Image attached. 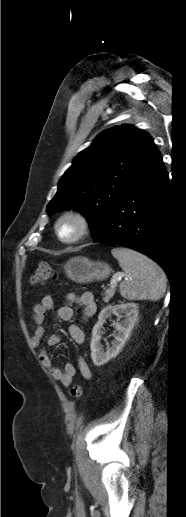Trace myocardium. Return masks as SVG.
<instances>
[{
  "instance_id": "1",
  "label": "myocardium",
  "mask_w": 186,
  "mask_h": 517,
  "mask_svg": "<svg viewBox=\"0 0 186 517\" xmlns=\"http://www.w3.org/2000/svg\"><path fill=\"white\" fill-rule=\"evenodd\" d=\"M73 221L77 225L76 233L70 237L65 238L60 233V226L64 221ZM90 221L88 217L78 210H67L63 212L55 222L54 230L57 238L65 244H74L84 238L89 232Z\"/></svg>"
}]
</instances>
